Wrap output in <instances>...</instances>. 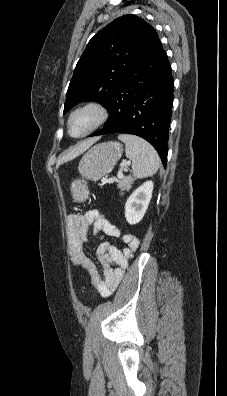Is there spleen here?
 <instances>
[{"instance_id":"spleen-1","label":"spleen","mask_w":227,"mask_h":396,"mask_svg":"<svg viewBox=\"0 0 227 396\" xmlns=\"http://www.w3.org/2000/svg\"><path fill=\"white\" fill-rule=\"evenodd\" d=\"M118 139L125 143L126 157L132 160V172L135 178L149 177L158 171L160 158L151 144L130 134H121Z\"/></svg>"}]
</instances>
